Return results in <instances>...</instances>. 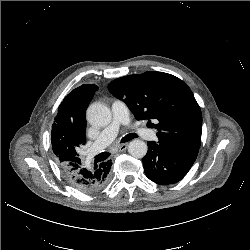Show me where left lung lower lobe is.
Instances as JSON below:
<instances>
[{"label":"left lung lower lobe","mask_w":250,"mask_h":250,"mask_svg":"<svg viewBox=\"0 0 250 250\" xmlns=\"http://www.w3.org/2000/svg\"><path fill=\"white\" fill-rule=\"evenodd\" d=\"M148 152L142 159L146 176L161 185L180 181L195 162L198 150L147 142Z\"/></svg>","instance_id":"0a47b994"}]
</instances>
